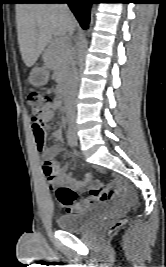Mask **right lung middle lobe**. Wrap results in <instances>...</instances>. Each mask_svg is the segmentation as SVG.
Returning a JSON list of instances; mask_svg holds the SVG:
<instances>
[{
  "instance_id": "dd1d6c3e",
  "label": "right lung middle lobe",
  "mask_w": 166,
  "mask_h": 267,
  "mask_svg": "<svg viewBox=\"0 0 166 267\" xmlns=\"http://www.w3.org/2000/svg\"><path fill=\"white\" fill-rule=\"evenodd\" d=\"M19 1H29V0H19Z\"/></svg>"
}]
</instances>
